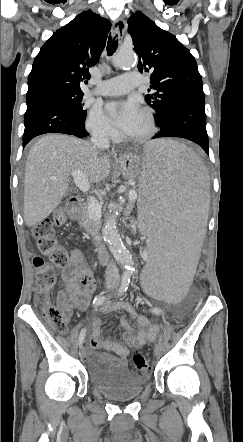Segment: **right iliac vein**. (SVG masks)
Listing matches in <instances>:
<instances>
[{"label": "right iliac vein", "instance_id": "1", "mask_svg": "<svg viewBox=\"0 0 243 442\" xmlns=\"http://www.w3.org/2000/svg\"><path fill=\"white\" fill-rule=\"evenodd\" d=\"M114 288L115 287L113 285H106V287L104 289V293L107 294V293L113 291ZM79 356H80L81 359L85 358V356H86V349H85V347L83 345L80 346Z\"/></svg>", "mask_w": 243, "mask_h": 442}]
</instances>
